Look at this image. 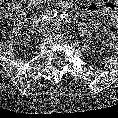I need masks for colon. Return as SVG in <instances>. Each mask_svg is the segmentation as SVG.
<instances>
[{"mask_svg": "<svg viewBox=\"0 0 118 118\" xmlns=\"http://www.w3.org/2000/svg\"><path fill=\"white\" fill-rule=\"evenodd\" d=\"M29 0H0V15L17 17L29 9Z\"/></svg>", "mask_w": 118, "mask_h": 118, "instance_id": "5ec220e1", "label": "colon"}]
</instances>
